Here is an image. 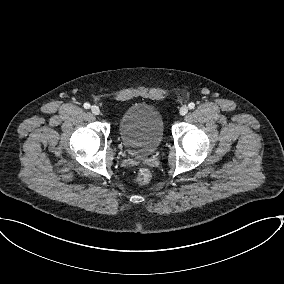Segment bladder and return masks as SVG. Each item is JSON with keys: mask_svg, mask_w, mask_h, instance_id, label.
Here are the masks:
<instances>
[{"mask_svg": "<svg viewBox=\"0 0 284 284\" xmlns=\"http://www.w3.org/2000/svg\"><path fill=\"white\" fill-rule=\"evenodd\" d=\"M118 131L125 150L135 157H147L160 145L164 124L160 112L148 104H134L121 115Z\"/></svg>", "mask_w": 284, "mask_h": 284, "instance_id": "31cf9c89", "label": "bladder"}]
</instances>
